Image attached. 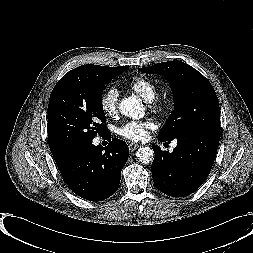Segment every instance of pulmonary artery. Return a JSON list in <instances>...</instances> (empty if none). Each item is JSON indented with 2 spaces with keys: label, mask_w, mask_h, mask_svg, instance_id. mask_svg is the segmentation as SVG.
Here are the masks:
<instances>
[{
  "label": "pulmonary artery",
  "mask_w": 253,
  "mask_h": 253,
  "mask_svg": "<svg viewBox=\"0 0 253 253\" xmlns=\"http://www.w3.org/2000/svg\"><path fill=\"white\" fill-rule=\"evenodd\" d=\"M176 143H177V142L175 141V142L173 143V146H175V145H176Z\"/></svg>",
  "instance_id": "1"
}]
</instances>
